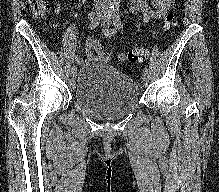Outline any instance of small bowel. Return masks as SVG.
<instances>
[{
  "mask_svg": "<svg viewBox=\"0 0 219 192\" xmlns=\"http://www.w3.org/2000/svg\"><path fill=\"white\" fill-rule=\"evenodd\" d=\"M132 7L130 8L131 13H141L142 21L148 23L154 19H161L167 15V12L174 5V0H150L151 5L144 0H130ZM61 11V7L58 4L55 9V13L58 14ZM104 34L107 37L114 36L115 32L109 30L107 27L104 28ZM85 62H103L99 40L96 38H89L86 40L85 45ZM119 59L123 60V54L119 55Z\"/></svg>",
  "mask_w": 219,
  "mask_h": 192,
  "instance_id": "c3829d8e",
  "label": "small bowel"
}]
</instances>
